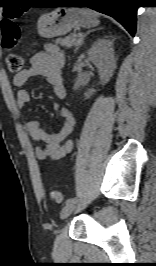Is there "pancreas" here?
I'll use <instances>...</instances> for the list:
<instances>
[{
  "label": "pancreas",
  "instance_id": "obj_1",
  "mask_svg": "<svg viewBox=\"0 0 156 266\" xmlns=\"http://www.w3.org/2000/svg\"><path fill=\"white\" fill-rule=\"evenodd\" d=\"M56 44H60L63 47L71 48L72 46L76 45V35L72 34L65 38H58L55 40Z\"/></svg>",
  "mask_w": 156,
  "mask_h": 266
}]
</instances>
